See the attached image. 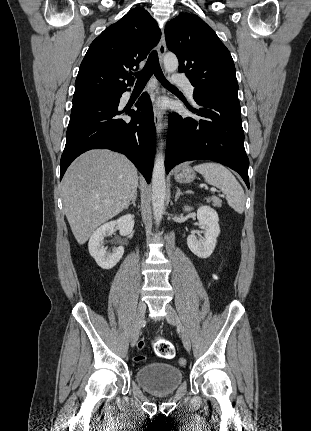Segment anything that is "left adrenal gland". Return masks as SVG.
Here are the masks:
<instances>
[{
    "label": "left adrenal gland",
    "mask_w": 311,
    "mask_h": 431,
    "mask_svg": "<svg viewBox=\"0 0 311 431\" xmlns=\"http://www.w3.org/2000/svg\"><path fill=\"white\" fill-rule=\"evenodd\" d=\"M179 196H182V192H181L180 188H177V192L175 194V202H177V200H179Z\"/></svg>",
    "instance_id": "1"
}]
</instances>
